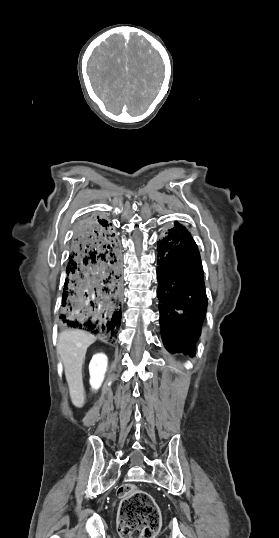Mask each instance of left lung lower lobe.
Here are the masks:
<instances>
[{
  "instance_id": "1",
  "label": "left lung lower lobe",
  "mask_w": 279,
  "mask_h": 538,
  "mask_svg": "<svg viewBox=\"0 0 279 538\" xmlns=\"http://www.w3.org/2000/svg\"><path fill=\"white\" fill-rule=\"evenodd\" d=\"M157 245L163 343L171 353L193 356L207 307L200 254L190 233L178 222Z\"/></svg>"
}]
</instances>
